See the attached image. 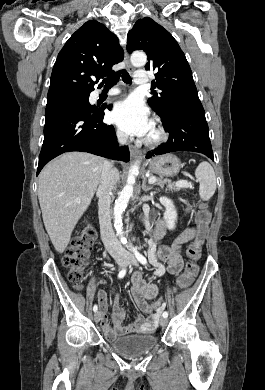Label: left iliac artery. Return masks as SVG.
Listing matches in <instances>:
<instances>
[{
    "mask_svg": "<svg viewBox=\"0 0 265 390\" xmlns=\"http://www.w3.org/2000/svg\"><path fill=\"white\" fill-rule=\"evenodd\" d=\"M136 258L138 259V261L141 263V264H147V259L141 254L139 253L135 248H132ZM163 317L167 318L168 317V312H163Z\"/></svg>",
    "mask_w": 265,
    "mask_h": 390,
    "instance_id": "1",
    "label": "left iliac artery"
}]
</instances>
